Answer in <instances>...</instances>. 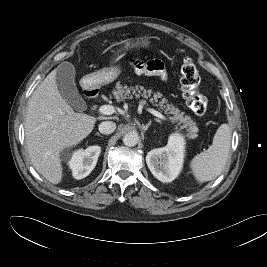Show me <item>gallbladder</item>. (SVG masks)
Wrapping results in <instances>:
<instances>
[{
  "instance_id": "gallbladder-1",
  "label": "gallbladder",
  "mask_w": 267,
  "mask_h": 267,
  "mask_svg": "<svg viewBox=\"0 0 267 267\" xmlns=\"http://www.w3.org/2000/svg\"><path fill=\"white\" fill-rule=\"evenodd\" d=\"M75 79V68L69 62H62L56 68V84L62 97L77 111L87 109L86 102L79 94Z\"/></svg>"
}]
</instances>
